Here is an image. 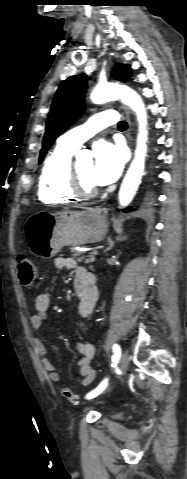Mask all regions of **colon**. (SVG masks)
<instances>
[{"label": "colon", "mask_w": 187, "mask_h": 479, "mask_svg": "<svg viewBox=\"0 0 187 479\" xmlns=\"http://www.w3.org/2000/svg\"><path fill=\"white\" fill-rule=\"evenodd\" d=\"M16 265L20 284L24 287L32 285L36 277V269L31 259L26 255H19L16 258ZM61 395L71 402H77V395L68 387L60 388Z\"/></svg>", "instance_id": "1"}]
</instances>
